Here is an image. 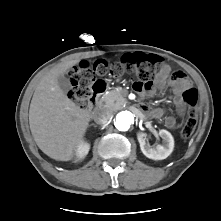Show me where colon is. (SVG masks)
Wrapping results in <instances>:
<instances>
[{
  "mask_svg": "<svg viewBox=\"0 0 221 221\" xmlns=\"http://www.w3.org/2000/svg\"><path fill=\"white\" fill-rule=\"evenodd\" d=\"M162 60L154 54L138 53L124 63H108L98 60L93 64L82 63L70 71L72 89L70 97L80 106L85 105L90 97V87L95 75L120 76L127 72L135 79L138 90H150L154 84ZM182 99L187 104L188 117L182 127L181 134L189 138L194 133L197 123L198 92L193 87H187L182 92Z\"/></svg>",
  "mask_w": 221,
  "mask_h": 221,
  "instance_id": "colon-1",
  "label": "colon"
}]
</instances>
